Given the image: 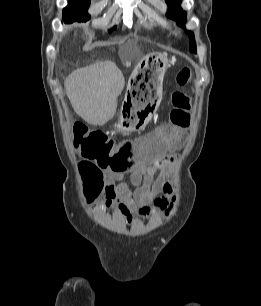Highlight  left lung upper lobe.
<instances>
[{
	"label": "left lung upper lobe",
	"instance_id": "obj_1",
	"mask_svg": "<svg viewBox=\"0 0 261 306\" xmlns=\"http://www.w3.org/2000/svg\"><path fill=\"white\" fill-rule=\"evenodd\" d=\"M168 4V16L177 21L180 26H183L186 22V12L180 8L181 0H166ZM190 39V51L196 53V44L194 34L191 31H187Z\"/></svg>",
	"mask_w": 261,
	"mask_h": 306
}]
</instances>
